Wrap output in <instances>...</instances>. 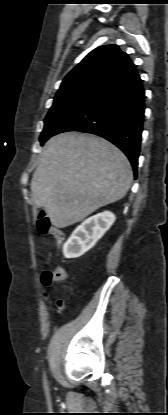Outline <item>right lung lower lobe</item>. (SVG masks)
I'll return each instance as SVG.
<instances>
[{"label":"right lung lower lobe","instance_id":"obj_1","mask_svg":"<svg viewBox=\"0 0 168 415\" xmlns=\"http://www.w3.org/2000/svg\"><path fill=\"white\" fill-rule=\"evenodd\" d=\"M145 91L136 68L108 86L55 133L79 131L101 136L120 148L137 174Z\"/></svg>","mask_w":168,"mask_h":415}]
</instances>
